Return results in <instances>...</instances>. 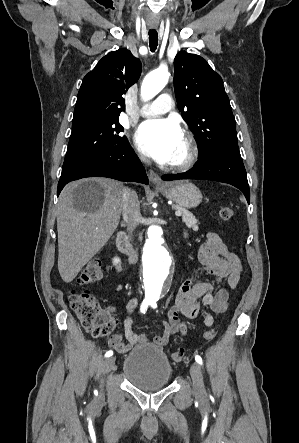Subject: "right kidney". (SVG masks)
I'll use <instances>...</instances> for the list:
<instances>
[{
	"label": "right kidney",
	"instance_id": "ca27d5eb",
	"mask_svg": "<svg viewBox=\"0 0 299 443\" xmlns=\"http://www.w3.org/2000/svg\"><path fill=\"white\" fill-rule=\"evenodd\" d=\"M113 264L115 265L117 271H121L122 267H121V260L118 257H115L113 259Z\"/></svg>",
	"mask_w": 299,
	"mask_h": 443
}]
</instances>
